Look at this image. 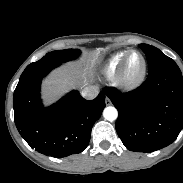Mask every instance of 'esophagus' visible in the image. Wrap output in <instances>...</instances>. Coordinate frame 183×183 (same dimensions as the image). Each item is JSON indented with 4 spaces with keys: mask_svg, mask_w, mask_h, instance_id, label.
I'll list each match as a JSON object with an SVG mask.
<instances>
[{
    "mask_svg": "<svg viewBox=\"0 0 183 183\" xmlns=\"http://www.w3.org/2000/svg\"><path fill=\"white\" fill-rule=\"evenodd\" d=\"M105 103H106V105H110L111 104V100L108 97H106Z\"/></svg>",
    "mask_w": 183,
    "mask_h": 183,
    "instance_id": "1",
    "label": "esophagus"
}]
</instances>
